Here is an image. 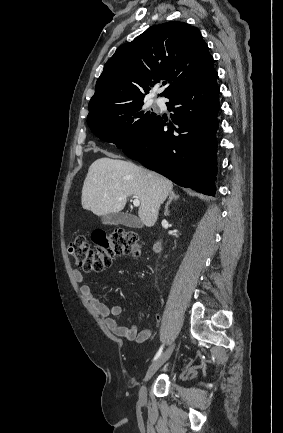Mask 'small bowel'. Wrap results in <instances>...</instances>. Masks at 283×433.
<instances>
[{
    "label": "small bowel",
    "instance_id": "small-bowel-1",
    "mask_svg": "<svg viewBox=\"0 0 283 433\" xmlns=\"http://www.w3.org/2000/svg\"><path fill=\"white\" fill-rule=\"evenodd\" d=\"M73 275L74 279L78 283H82L85 279L84 274L79 270H75ZM80 292L82 296L87 299L95 308L97 313L104 319L108 329L115 335L124 337L129 341H135L139 344L144 343L152 336L151 328L138 330L136 325H121L117 321V318L122 314V307L120 305L107 306L106 304L102 303L94 297L93 291L89 285L83 284L80 287Z\"/></svg>",
    "mask_w": 283,
    "mask_h": 433
}]
</instances>
